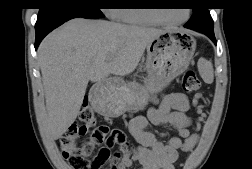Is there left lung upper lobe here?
<instances>
[{
    "mask_svg": "<svg viewBox=\"0 0 252 169\" xmlns=\"http://www.w3.org/2000/svg\"><path fill=\"white\" fill-rule=\"evenodd\" d=\"M196 6L193 9V15L185 24V27L199 32H214V22L211 18L208 8L203 6L208 0H194Z\"/></svg>",
    "mask_w": 252,
    "mask_h": 169,
    "instance_id": "1",
    "label": "left lung upper lobe"
}]
</instances>
